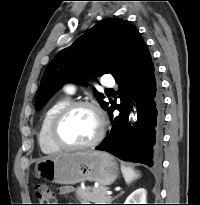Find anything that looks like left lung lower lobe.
<instances>
[{
	"instance_id": "obj_1",
	"label": "left lung lower lobe",
	"mask_w": 200,
	"mask_h": 205,
	"mask_svg": "<svg viewBox=\"0 0 200 205\" xmlns=\"http://www.w3.org/2000/svg\"><path fill=\"white\" fill-rule=\"evenodd\" d=\"M112 75L119 84L121 103L111 102L108 107L113 125L96 150L109 152L125 161L156 167L161 160L163 99L151 55L139 32ZM135 98L139 119L131 130L129 106ZM116 109L120 114L113 117Z\"/></svg>"
}]
</instances>
